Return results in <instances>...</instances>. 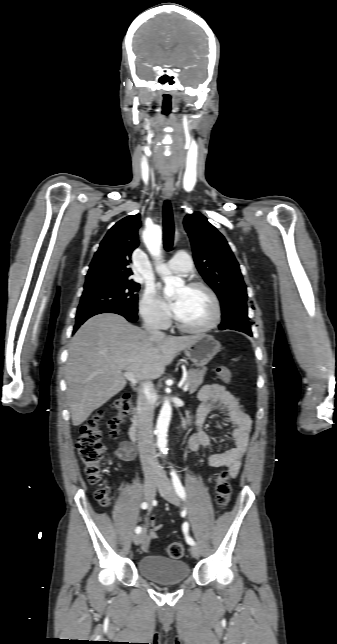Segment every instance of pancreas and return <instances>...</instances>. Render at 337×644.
Instances as JSON below:
<instances>
[{
    "mask_svg": "<svg viewBox=\"0 0 337 644\" xmlns=\"http://www.w3.org/2000/svg\"><path fill=\"white\" fill-rule=\"evenodd\" d=\"M207 368L202 369H190L187 372L185 383L188 385V390L190 394H193L197 388L202 384L204 375L206 374Z\"/></svg>",
    "mask_w": 337,
    "mask_h": 644,
    "instance_id": "cf45deb5",
    "label": "pancreas"
}]
</instances>
